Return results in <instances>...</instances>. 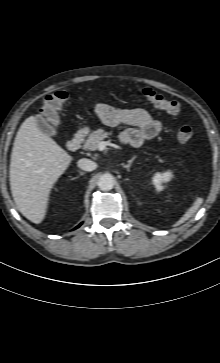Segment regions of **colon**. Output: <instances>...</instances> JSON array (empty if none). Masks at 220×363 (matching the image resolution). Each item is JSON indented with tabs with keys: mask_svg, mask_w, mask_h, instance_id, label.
<instances>
[{
	"mask_svg": "<svg viewBox=\"0 0 220 363\" xmlns=\"http://www.w3.org/2000/svg\"><path fill=\"white\" fill-rule=\"evenodd\" d=\"M141 95L155 108L163 110L171 115L180 112V103L176 100L169 99L162 94L150 89L143 88L140 90ZM67 99L64 91H57L48 94L41 106V113L44 120L51 126L58 124L61 109ZM194 131L188 125H181L177 130V137L181 142H188L192 139Z\"/></svg>",
	"mask_w": 220,
	"mask_h": 363,
	"instance_id": "colon-1",
	"label": "colon"
}]
</instances>
